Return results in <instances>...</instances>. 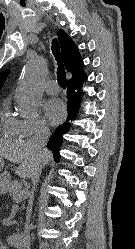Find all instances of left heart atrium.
Listing matches in <instances>:
<instances>
[{
  "label": "left heart atrium",
  "mask_w": 135,
  "mask_h": 249,
  "mask_svg": "<svg viewBox=\"0 0 135 249\" xmlns=\"http://www.w3.org/2000/svg\"><path fill=\"white\" fill-rule=\"evenodd\" d=\"M43 111L50 123L57 124L64 116L65 109L62 102L54 98L44 104Z\"/></svg>",
  "instance_id": "1"
}]
</instances>
